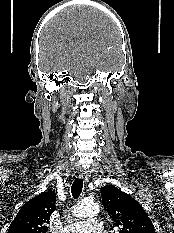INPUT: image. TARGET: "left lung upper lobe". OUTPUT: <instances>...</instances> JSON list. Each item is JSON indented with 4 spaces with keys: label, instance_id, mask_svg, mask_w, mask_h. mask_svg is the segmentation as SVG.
Returning a JSON list of instances; mask_svg holds the SVG:
<instances>
[{
    "label": "left lung upper lobe",
    "instance_id": "1",
    "mask_svg": "<svg viewBox=\"0 0 174 233\" xmlns=\"http://www.w3.org/2000/svg\"><path fill=\"white\" fill-rule=\"evenodd\" d=\"M102 204L119 233H155L145 210L134 198L113 185L101 188Z\"/></svg>",
    "mask_w": 174,
    "mask_h": 233
}]
</instances>
